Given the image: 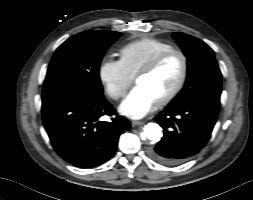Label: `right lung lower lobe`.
Listing matches in <instances>:
<instances>
[{
	"instance_id": "1",
	"label": "right lung lower lobe",
	"mask_w": 253,
	"mask_h": 200,
	"mask_svg": "<svg viewBox=\"0 0 253 200\" xmlns=\"http://www.w3.org/2000/svg\"><path fill=\"white\" fill-rule=\"evenodd\" d=\"M116 110L103 98L73 94L42 96L43 121L50 141L64 160L76 167L90 168L109 160L119 136L130 128L124 118L99 121Z\"/></svg>"
}]
</instances>
